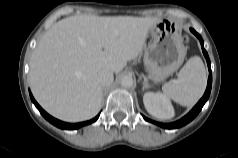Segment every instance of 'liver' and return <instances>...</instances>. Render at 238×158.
Masks as SVG:
<instances>
[{
  "instance_id": "6515ba94",
  "label": "liver",
  "mask_w": 238,
  "mask_h": 158,
  "mask_svg": "<svg viewBox=\"0 0 238 158\" xmlns=\"http://www.w3.org/2000/svg\"><path fill=\"white\" fill-rule=\"evenodd\" d=\"M157 18L71 16L52 25L35 48L29 80L37 102L67 122L85 121L101 108L100 70L121 72L138 57Z\"/></svg>"
}]
</instances>
